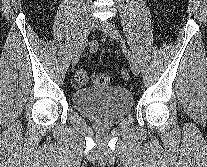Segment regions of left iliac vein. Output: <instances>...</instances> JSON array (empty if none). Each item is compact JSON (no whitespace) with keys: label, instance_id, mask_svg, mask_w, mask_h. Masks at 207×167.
Listing matches in <instances>:
<instances>
[{"label":"left iliac vein","instance_id":"4c4485c4","mask_svg":"<svg viewBox=\"0 0 207 167\" xmlns=\"http://www.w3.org/2000/svg\"><path fill=\"white\" fill-rule=\"evenodd\" d=\"M97 25L104 31L105 34H107L112 39L117 40V41L120 40L119 32L113 23L109 21L98 22ZM126 56L129 60L130 67H131L133 74L137 76L140 72V69H139L136 58L129 50H126Z\"/></svg>","mask_w":207,"mask_h":167}]
</instances>
